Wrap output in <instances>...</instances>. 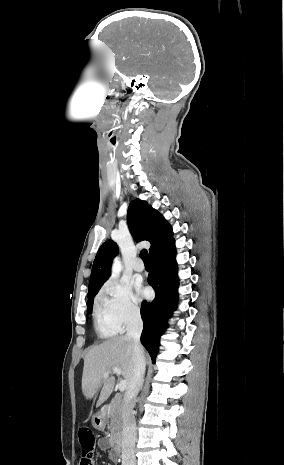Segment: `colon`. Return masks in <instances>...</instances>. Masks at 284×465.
<instances>
[{"instance_id":"1","label":"colon","mask_w":284,"mask_h":465,"mask_svg":"<svg viewBox=\"0 0 284 465\" xmlns=\"http://www.w3.org/2000/svg\"><path fill=\"white\" fill-rule=\"evenodd\" d=\"M79 442L81 445L82 465H93L89 459L92 458L95 446V437L89 428L83 427L78 431Z\"/></svg>"}]
</instances>
